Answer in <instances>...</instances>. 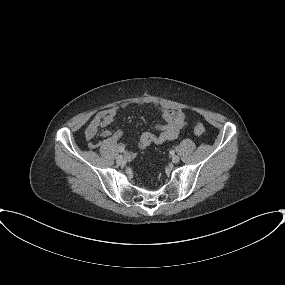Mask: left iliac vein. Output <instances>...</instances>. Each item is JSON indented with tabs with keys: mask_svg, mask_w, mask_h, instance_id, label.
I'll list each match as a JSON object with an SVG mask.
<instances>
[{
	"mask_svg": "<svg viewBox=\"0 0 285 285\" xmlns=\"http://www.w3.org/2000/svg\"><path fill=\"white\" fill-rule=\"evenodd\" d=\"M179 160H180L179 156H177V155H173V156H172V162H173V163H178Z\"/></svg>",
	"mask_w": 285,
	"mask_h": 285,
	"instance_id": "4c4485c4",
	"label": "left iliac vein"
}]
</instances>
